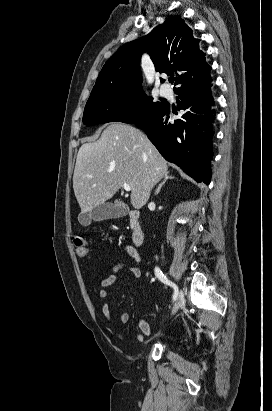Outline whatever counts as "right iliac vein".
Instances as JSON below:
<instances>
[{"label":"right iliac vein","mask_w":272,"mask_h":411,"mask_svg":"<svg viewBox=\"0 0 272 411\" xmlns=\"http://www.w3.org/2000/svg\"><path fill=\"white\" fill-rule=\"evenodd\" d=\"M183 304H184L183 294H182V292H180L178 294L176 302L173 306L172 315H174L180 309V307L183 306Z\"/></svg>","instance_id":"right-iliac-vein-1"}]
</instances>
